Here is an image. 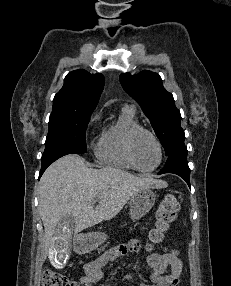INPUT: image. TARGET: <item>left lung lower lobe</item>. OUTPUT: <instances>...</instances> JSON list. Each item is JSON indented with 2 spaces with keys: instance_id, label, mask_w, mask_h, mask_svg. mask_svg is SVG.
<instances>
[{
  "instance_id": "obj_1",
  "label": "left lung lower lobe",
  "mask_w": 231,
  "mask_h": 286,
  "mask_svg": "<svg viewBox=\"0 0 231 286\" xmlns=\"http://www.w3.org/2000/svg\"><path fill=\"white\" fill-rule=\"evenodd\" d=\"M173 173L182 177L190 186V170L187 163V148L180 145L168 155L167 162L159 174Z\"/></svg>"
}]
</instances>
